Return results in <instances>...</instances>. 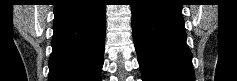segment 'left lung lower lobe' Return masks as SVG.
Instances as JSON below:
<instances>
[{
  "mask_svg": "<svg viewBox=\"0 0 237 81\" xmlns=\"http://www.w3.org/2000/svg\"><path fill=\"white\" fill-rule=\"evenodd\" d=\"M132 30L143 81H194L179 0H136Z\"/></svg>",
  "mask_w": 237,
  "mask_h": 81,
  "instance_id": "0a47b994",
  "label": "left lung lower lobe"
}]
</instances>
